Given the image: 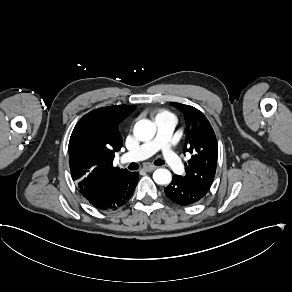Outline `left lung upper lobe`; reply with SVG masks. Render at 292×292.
Returning a JSON list of instances; mask_svg holds the SVG:
<instances>
[{
	"mask_svg": "<svg viewBox=\"0 0 292 292\" xmlns=\"http://www.w3.org/2000/svg\"><path fill=\"white\" fill-rule=\"evenodd\" d=\"M186 120L184 153L191 155L186 166V175L179 178L186 184L208 191L216 173L218 145L214 130L205 115L198 109L171 102ZM178 176V175H177Z\"/></svg>",
	"mask_w": 292,
	"mask_h": 292,
	"instance_id": "1",
	"label": "left lung upper lobe"
}]
</instances>
